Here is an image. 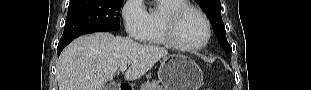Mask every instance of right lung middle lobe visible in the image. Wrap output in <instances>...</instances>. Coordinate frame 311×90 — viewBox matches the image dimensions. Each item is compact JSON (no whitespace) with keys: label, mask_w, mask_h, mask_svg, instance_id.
<instances>
[{"label":"right lung middle lobe","mask_w":311,"mask_h":90,"mask_svg":"<svg viewBox=\"0 0 311 90\" xmlns=\"http://www.w3.org/2000/svg\"><path fill=\"white\" fill-rule=\"evenodd\" d=\"M123 0H70L65 29L59 43L97 31L120 29Z\"/></svg>","instance_id":"obj_1"}]
</instances>
